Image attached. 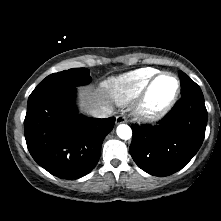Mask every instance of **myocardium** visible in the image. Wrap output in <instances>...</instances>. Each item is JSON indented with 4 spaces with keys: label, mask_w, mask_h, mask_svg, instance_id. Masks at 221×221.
<instances>
[{
    "label": "myocardium",
    "mask_w": 221,
    "mask_h": 221,
    "mask_svg": "<svg viewBox=\"0 0 221 221\" xmlns=\"http://www.w3.org/2000/svg\"><path fill=\"white\" fill-rule=\"evenodd\" d=\"M163 76H170L175 80L176 83V89L173 93V95L169 98L168 101H166L163 105L159 107H153L150 103V97H151V92L153 89V86L157 82V80ZM181 91V83L178 77L168 71H160L157 72L146 84L144 89L139 95L138 102L135 106V115L143 120V121H157L163 116H165L171 108L174 106L176 103L178 96Z\"/></svg>",
    "instance_id": "obj_1"
}]
</instances>
